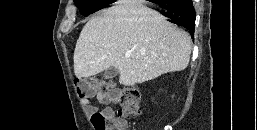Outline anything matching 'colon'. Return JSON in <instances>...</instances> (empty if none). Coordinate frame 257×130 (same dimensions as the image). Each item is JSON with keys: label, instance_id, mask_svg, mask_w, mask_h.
Instances as JSON below:
<instances>
[{"label": "colon", "instance_id": "obj_1", "mask_svg": "<svg viewBox=\"0 0 257 130\" xmlns=\"http://www.w3.org/2000/svg\"><path fill=\"white\" fill-rule=\"evenodd\" d=\"M75 87L81 98L101 93L116 98L119 102L120 108L116 114L97 111L91 115V122L96 130H128L127 121L137 119L140 114L141 95L137 87L129 86L117 91L112 81L95 78H76Z\"/></svg>", "mask_w": 257, "mask_h": 130}]
</instances>
